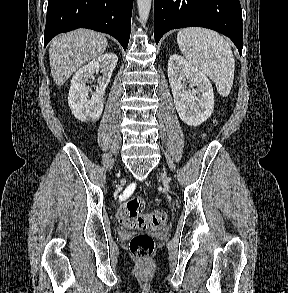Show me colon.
Listing matches in <instances>:
<instances>
[{"label":"colon","instance_id":"1","mask_svg":"<svg viewBox=\"0 0 288 293\" xmlns=\"http://www.w3.org/2000/svg\"><path fill=\"white\" fill-rule=\"evenodd\" d=\"M145 199L137 196L124 202L118 212L120 222L130 229L146 230L163 227L168 216L163 210L144 213ZM154 250V240L146 234L134 236L130 242V251L137 259L149 258Z\"/></svg>","mask_w":288,"mask_h":293}]
</instances>
